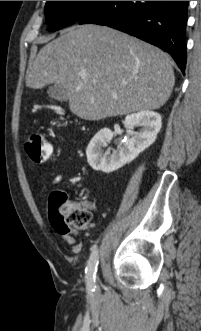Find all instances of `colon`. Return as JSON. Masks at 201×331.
I'll return each mask as SVG.
<instances>
[{
	"label": "colon",
	"instance_id": "colon-1",
	"mask_svg": "<svg viewBox=\"0 0 201 331\" xmlns=\"http://www.w3.org/2000/svg\"><path fill=\"white\" fill-rule=\"evenodd\" d=\"M25 150L30 159L37 164L46 162L52 154V145L42 134H30L25 140ZM52 214L66 227L84 229L91 221V204H68L63 191H54L49 198Z\"/></svg>",
	"mask_w": 201,
	"mask_h": 331
}]
</instances>
